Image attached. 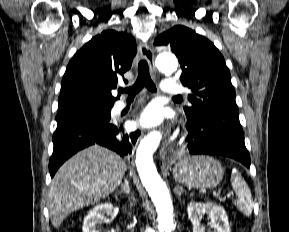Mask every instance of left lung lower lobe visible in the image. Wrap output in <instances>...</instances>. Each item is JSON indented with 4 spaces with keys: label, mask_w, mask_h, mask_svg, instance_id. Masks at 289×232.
<instances>
[{
    "label": "left lung lower lobe",
    "mask_w": 289,
    "mask_h": 232,
    "mask_svg": "<svg viewBox=\"0 0 289 232\" xmlns=\"http://www.w3.org/2000/svg\"><path fill=\"white\" fill-rule=\"evenodd\" d=\"M185 150L192 155H222L250 167V156L245 147L239 121L219 115H206L196 121L187 120Z\"/></svg>",
    "instance_id": "1"
}]
</instances>
